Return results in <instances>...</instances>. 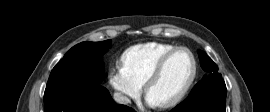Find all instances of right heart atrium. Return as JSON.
Returning <instances> with one entry per match:
<instances>
[{"label": "right heart atrium", "mask_w": 270, "mask_h": 112, "mask_svg": "<svg viewBox=\"0 0 270 112\" xmlns=\"http://www.w3.org/2000/svg\"><path fill=\"white\" fill-rule=\"evenodd\" d=\"M109 82L116 91L120 102L124 104L138 98L142 92V84L137 82L121 63H116L111 67Z\"/></svg>", "instance_id": "d8ad5b80"}]
</instances>
